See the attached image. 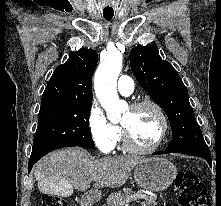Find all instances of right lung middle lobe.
<instances>
[{
  "label": "right lung middle lobe",
  "mask_w": 221,
  "mask_h": 206,
  "mask_svg": "<svg viewBox=\"0 0 221 206\" xmlns=\"http://www.w3.org/2000/svg\"><path fill=\"white\" fill-rule=\"evenodd\" d=\"M91 105L41 108L31 156L64 147H94L88 122Z\"/></svg>",
  "instance_id": "right-lung-middle-lobe-1"
}]
</instances>
